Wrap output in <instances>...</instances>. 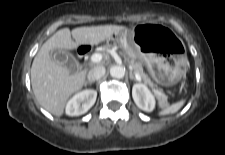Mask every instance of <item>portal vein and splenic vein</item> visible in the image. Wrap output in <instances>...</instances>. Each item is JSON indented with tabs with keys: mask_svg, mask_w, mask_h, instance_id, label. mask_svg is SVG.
<instances>
[{
	"mask_svg": "<svg viewBox=\"0 0 225 155\" xmlns=\"http://www.w3.org/2000/svg\"><path fill=\"white\" fill-rule=\"evenodd\" d=\"M101 60H102V54H100V53H95V54H93V55L91 56V61H92L93 63H98V62H100ZM135 77L137 78L138 81H141V77H140V75H139L138 73H135ZM154 92H155L156 94H159V92L156 91V90H154Z\"/></svg>",
	"mask_w": 225,
	"mask_h": 155,
	"instance_id": "portal-vein-and-splenic-vein-1",
	"label": "portal vein and splenic vein"
}]
</instances>
